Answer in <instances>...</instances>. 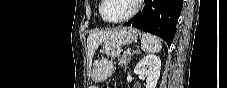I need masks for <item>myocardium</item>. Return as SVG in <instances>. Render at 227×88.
Returning a JSON list of instances; mask_svg holds the SVG:
<instances>
[{
  "mask_svg": "<svg viewBox=\"0 0 227 88\" xmlns=\"http://www.w3.org/2000/svg\"><path fill=\"white\" fill-rule=\"evenodd\" d=\"M142 0H133L134 3V7L132 9V11L130 13H128L126 16L119 18V19H115V20H109L104 16L103 13V8L107 3V0H101V4H100V8H99V14L101 19L105 22V23H109V24H119V23H123L128 21L129 19H131L139 10L140 4H141Z\"/></svg>",
  "mask_w": 227,
  "mask_h": 88,
  "instance_id": "obj_1",
  "label": "myocardium"
}]
</instances>
